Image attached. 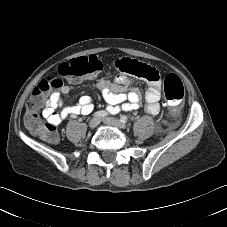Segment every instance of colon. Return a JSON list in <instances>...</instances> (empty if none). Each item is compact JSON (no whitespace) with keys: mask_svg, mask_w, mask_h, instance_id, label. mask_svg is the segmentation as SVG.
I'll return each mask as SVG.
<instances>
[{"mask_svg":"<svg viewBox=\"0 0 227 227\" xmlns=\"http://www.w3.org/2000/svg\"><path fill=\"white\" fill-rule=\"evenodd\" d=\"M103 68V62L96 55H87L66 61L61 65L59 73L73 80H80L100 73ZM127 70L130 74L146 80H155L159 77L152 66L137 60H131ZM62 84L58 77H46L34 88L26 104L25 125L48 143H56L59 134L55 126L42 123L38 110L43 105L47 93L61 88ZM164 98L165 103L173 109L177 108L184 98L183 83L174 73H169L164 78Z\"/></svg>","mask_w":227,"mask_h":227,"instance_id":"obj_1","label":"colon"}]
</instances>
